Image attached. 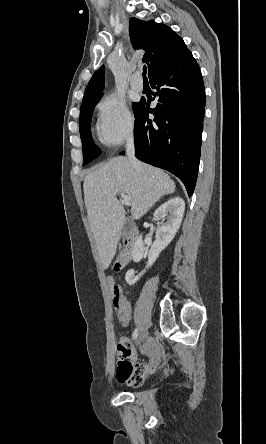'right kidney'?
<instances>
[{
  "label": "right kidney",
  "mask_w": 266,
  "mask_h": 444,
  "mask_svg": "<svg viewBox=\"0 0 266 444\" xmlns=\"http://www.w3.org/2000/svg\"><path fill=\"white\" fill-rule=\"evenodd\" d=\"M185 211V202L180 197H174L164 204H162L155 212L154 218L161 220L167 216V222L162 224L156 232V240L153 242L149 254L146 269L150 268L159 254L164 250L176 235ZM145 251V243L140 235L135 242L132 250V258L134 262H139L143 258ZM146 269L139 273L138 276L134 275V270L130 269L125 275V280L129 285L135 284L140 277L146 272Z\"/></svg>",
  "instance_id": "right-kidney-1"
}]
</instances>
